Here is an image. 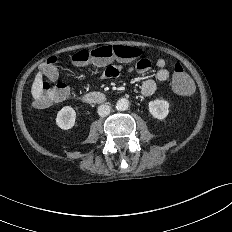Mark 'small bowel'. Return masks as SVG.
Here are the masks:
<instances>
[{
    "label": "small bowel",
    "instance_id": "c3829d8e",
    "mask_svg": "<svg viewBox=\"0 0 232 232\" xmlns=\"http://www.w3.org/2000/svg\"><path fill=\"white\" fill-rule=\"evenodd\" d=\"M100 67H105L106 64H98ZM152 66V63L149 59L143 58L139 60L135 67H125L122 64H115L106 66L100 76L101 80L110 79L114 77H118L123 73H132L137 71L138 73H145L147 72ZM156 66L158 68L156 73V79L160 82H165L170 77V72L166 68V61L163 58H159L156 60ZM57 77L55 78V80ZM157 84L154 79H146L143 81L140 93L144 97H149L154 94L156 91Z\"/></svg>",
    "mask_w": 232,
    "mask_h": 232
}]
</instances>
